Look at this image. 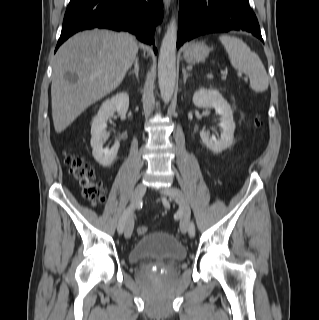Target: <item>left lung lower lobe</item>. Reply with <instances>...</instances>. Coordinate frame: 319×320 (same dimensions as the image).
Here are the masks:
<instances>
[{
  "instance_id": "left-lung-lower-lobe-1",
  "label": "left lung lower lobe",
  "mask_w": 319,
  "mask_h": 320,
  "mask_svg": "<svg viewBox=\"0 0 319 320\" xmlns=\"http://www.w3.org/2000/svg\"><path fill=\"white\" fill-rule=\"evenodd\" d=\"M229 30L250 32L263 42L248 0H180L178 48L199 35Z\"/></svg>"
}]
</instances>
